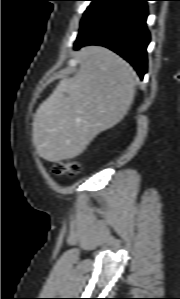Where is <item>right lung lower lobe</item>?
Segmentation results:
<instances>
[{
	"label": "right lung lower lobe",
	"instance_id": "obj_1",
	"mask_svg": "<svg viewBox=\"0 0 180 299\" xmlns=\"http://www.w3.org/2000/svg\"><path fill=\"white\" fill-rule=\"evenodd\" d=\"M148 0H107L81 22L75 49L86 45L105 46L125 60L142 79L147 71L146 26Z\"/></svg>",
	"mask_w": 180,
	"mask_h": 299
}]
</instances>
